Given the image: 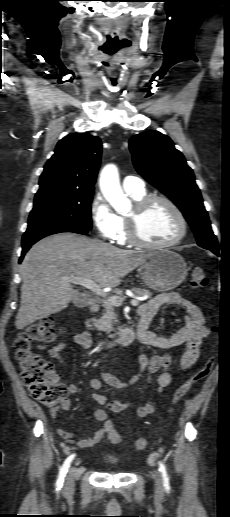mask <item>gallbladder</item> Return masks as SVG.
I'll return each instance as SVG.
<instances>
[{
	"mask_svg": "<svg viewBox=\"0 0 230 517\" xmlns=\"http://www.w3.org/2000/svg\"><path fill=\"white\" fill-rule=\"evenodd\" d=\"M74 303H75L76 306H84L85 305L84 298L82 296H80V295L76 297Z\"/></svg>",
	"mask_w": 230,
	"mask_h": 517,
	"instance_id": "obj_1",
	"label": "gallbladder"
}]
</instances>
